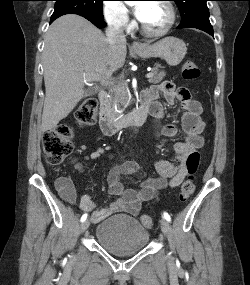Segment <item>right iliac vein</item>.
<instances>
[{"label":"right iliac vein","instance_id":"right-iliac-vein-1","mask_svg":"<svg viewBox=\"0 0 250 285\" xmlns=\"http://www.w3.org/2000/svg\"><path fill=\"white\" fill-rule=\"evenodd\" d=\"M90 225V221L89 220H85L83 221V223L81 224V227H80V232H84Z\"/></svg>","mask_w":250,"mask_h":285}]
</instances>
